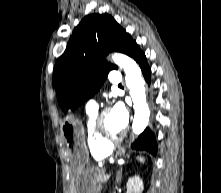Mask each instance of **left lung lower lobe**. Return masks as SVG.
<instances>
[{
    "mask_svg": "<svg viewBox=\"0 0 221 193\" xmlns=\"http://www.w3.org/2000/svg\"><path fill=\"white\" fill-rule=\"evenodd\" d=\"M128 56L132 57L140 66L142 74L147 83L151 80V69L147 64L146 56L141 51L139 45L135 43L128 53ZM132 149L135 150H145L153 155L157 153V142L154 134L147 128L131 145Z\"/></svg>",
    "mask_w": 221,
    "mask_h": 193,
    "instance_id": "obj_1",
    "label": "left lung lower lobe"
}]
</instances>
